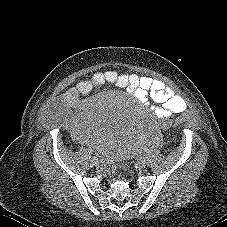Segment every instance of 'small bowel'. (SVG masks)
I'll use <instances>...</instances> for the list:
<instances>
[{"instance_id": "1", "label": "small bowel", "mask_w": 227, "mask_h": 227, "mask_svg": "<svg viewBox=\"0 0 227 227\" xmlns=\"http://www.w3.org/2000/svg\"><path fill=\"white\" fill-rule=\"evenodd\" d=\"M106 85L125 90L144 104L148 98L152 99L159 105L148 109L159 119L167 112L178 114L186 107L184 99L161 80L135 74H118L113 70L96 72L69 88L61 97V102L73 109L72 113L64 115L62 125L75 141L90 143L95 148L101 147V140L90 136L91 124L86 115L88 102L84 97Z\"/></svg>"}]
</instances>
